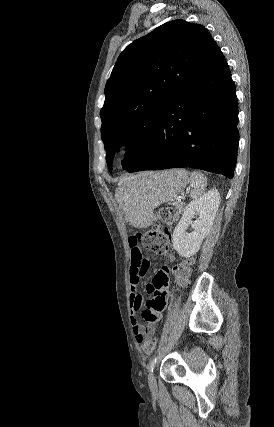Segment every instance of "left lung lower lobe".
<instances>
[{
    "label": "left lung lower lobe",
    "instance_id": "1",
    "mask_svg": "<svg viewBox=\"0 0 274 427\" xmlns=\"http://www.w3.org/2000/svg\"><path fill=\"white\" fill-rule=\"evenodd\" d=\"M238 104L228 64L213 42L168 106L145 152L126 171L196 168L234 176Z\"/></svg>",
    "mask_w": 274,
    "mask_h": 427
}]
</instances>
